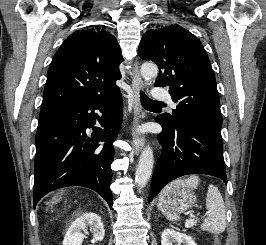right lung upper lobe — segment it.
<instances>
[{"mask_svg": "<svg viewBox=\"0 0 266 245\" xmlns=\"http://www.w3.org/2000/svg\"><path fill=\"white\" fill-rule=\"evenodd\" d=\"M123 58L116 38L103 29L78 30L63 42L47 73L39 120L70 105L119 91Z\"/></svg>", "mask_w": 266, "mask_h": 245, "instance_id": "1", "label": "right lung upper lobe"}]
</instances>
